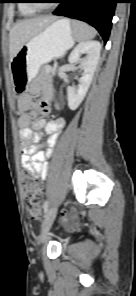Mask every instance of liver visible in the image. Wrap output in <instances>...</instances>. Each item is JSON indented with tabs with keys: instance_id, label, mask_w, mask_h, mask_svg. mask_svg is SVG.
<instances>
[{
	"instance_id": "6515ba94",
	"label": "liver",
	"mask_w": 136,
	"mask_h": 296,
	"mask_svg": "<svg viewBox=\"0 0 136 296\" xmlns=\"http://www.w3.org/2000/svg\"><path fill=\"white\" fill-rule=\"evenodd\" d=\"M56 17L43 16L30 19H23L17 22L10 30L9 51L10 60L15 57L21 47L32 37L44 30L50 23L54 22Z\"/></svg>"
}]
</instances>
